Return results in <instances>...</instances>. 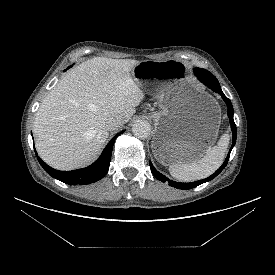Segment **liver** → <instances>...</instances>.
I'll return each mask as SVG.
<instances>
[{"instance_id":"1","label":"liver","mask_w":275,"mask_h":275,"mask_svg":"<svg viewBox=\"0 0 275 275\" xmlns=\"http://www.w3.org/2000/svg\"><path fill=\"white\" fill-rule=\"evenodd\" d=\"M140 61L95 57L66 74L43 99L33 131L39 156L58 170L91 163L109 136L107 120L124 123L144 99L130 72Z\"/></svg>"}]
</instances>
